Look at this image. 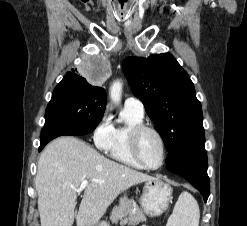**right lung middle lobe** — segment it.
I'll list each match as a JSON object with an SVG mask.
<instances>
[{"instance_id":"1","label":"right lung middle lobe","mask_w":247,"mask_h":226,"mask_svg":"<svg viewBox=\"0 0 247 226\" xmlns=\"http://www.w3.org/2000/svg\"><path fill=\"white\" fill-rule=\"evenodd\" d=\"M106 100L90 90L61 81L46 108L45 125L93 131L101 121Z\"/></svg>"}]
</instances>
